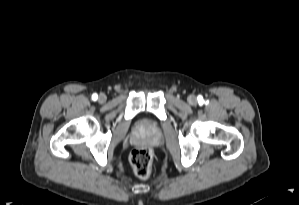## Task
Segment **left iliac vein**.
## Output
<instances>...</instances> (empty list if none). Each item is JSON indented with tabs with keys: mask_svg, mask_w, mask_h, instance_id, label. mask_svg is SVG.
Returning <instances> with one entry per match:
<instances>
[{
	"mask_svg": "<svg viewBox=\"0 0 299 205\" xmlns=\"http://www.w3.org/2000/svg\"><path fill=\"white\" fill-rule=\"evenodd\" d=\"M188 102L191 104V105H195L196 102H197V99L195 96L191 95L188 97Z\"/></svg>",
	"mask_w": 299,
	"mask_h": 205,
	"instance_id": "obj_1",
	"label": "left iliac vein"
}]
</instances>
